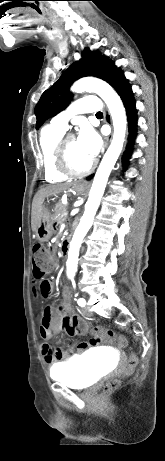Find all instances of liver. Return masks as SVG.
<instances>
[{
    "instance_id": "obj_1",
    "label": "liver",
    "mask_w": 165,
    "mask_h": 461,
    "mask_svg": "<svg viewBox=\"0 0 165 461\" xmlns=\"http://www.w3.org/2000/svg\"><path fill=\"white\" fill-rule=\"evenodd\" d=\"M76 184H65V185H54L47 186L40 189L37 194L34 196L32 202V213H31V228L35 232L40 224L42 211H43V202L46 197L60 194L66 190H69L71 187L74 188Z\"/></svg>"
}]
</instances>
